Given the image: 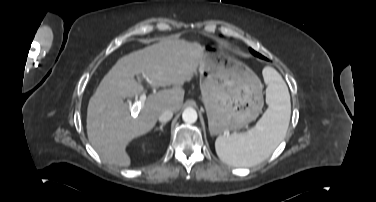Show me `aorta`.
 Instances as JSON below:
<instances>
[{
  "instance_id": "obj_1",
  "label": "aorta",
  "mask_w": 376,
  "mask_h": 202,
  "mask_svg": "<svg viewBox=\"0 0 376 202\" xmlns=\"http://www.w3.org/2000/svg\"><path fill=\"white\" fill-rule=\"evenodd\" d=\"M198 115L195 109L189 107L182 113V119L186 123H194L197 121Z\"/></svg>"
}]
</instances>
